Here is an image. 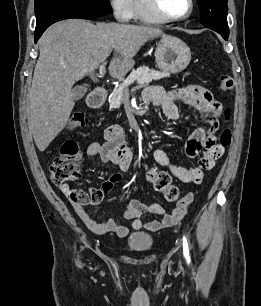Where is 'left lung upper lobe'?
Returning <instances> with one entry per match:
<instances>
[{"mask_svg": "<svg viewBox=\"0 0 261 306\" xmlns=\"http://www.w3.org/2000/svg\"><path fill=\"white\" fill-rule=\"evenodd\" d=\"M228 0H197L201 19L207 28L221 32H229L227 23Z\"/></svg>", "mask_w": 261, "mask_h": 306, "instance_id": "obj_1", "label": "left lung upper lobe"}]
</instances>
